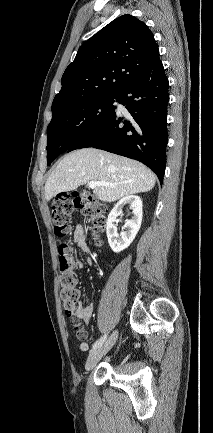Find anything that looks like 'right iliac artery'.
I'll return each mask as SVG.
<instances>
[{"label":"right iliac artery","instance_id":"obj_1","mask_svg":"<svg viewBox=\"0 0 213 433\" xmlns=\"http://www.w3.org/2000/svg\"><path fill=\"white\" fill-rule=\"evenodd\" d=\"M106 338H107V334H105V335L102 336L100 339H98V340L93 344L92 348H93V349H96V348H98L99 346H101V345L104 343V341L106 340Z\"/></svg>","mask_w":213,"mask_h":433}]
</instances>
